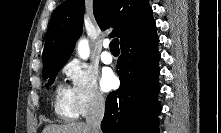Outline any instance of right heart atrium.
Instances as JSON below:
<instances>
[{
    "instance_id": "right-heart-atrium-1",
    "label": "right heart atrium",
    "mask_w": 221,
    "mask_h": 133,
    "mask_svg": "<svg viewBox=\"0 0 221 133\" xmlns=\"http://www.w3.org/2000/svg\"><path fill=\"white\" fill-rule=\"evenodd\" d=\"M63 73L70 81L71 98L78 115L84 116L104 107L105 95L93 70L80 61L73 60L63 67Z\"/></svg>"
}]
</instances>
